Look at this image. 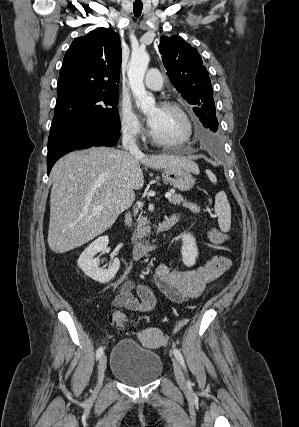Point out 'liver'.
Listing matches in <instances>:
<instances>
[{
  "mask_svg": "<svg viewBox=\"0 0 299 427\" xmlns=\"http://www.w3.org/2000/svg\"><path fill=\"white\" fill-rule=\"evenodd\" d=\"M140 164L156 170L185 168L199 174L197 164L181 156L136 155L105 146L70 152L51 171L50 249L70 251L111 227L134 202L135 190L144 185Z\"/></svg>",
  "mask_w": 299,
  "mask_h": 427,
  "instance_id": "6515ba94",
  "label": "liver"
}]
</instances>
